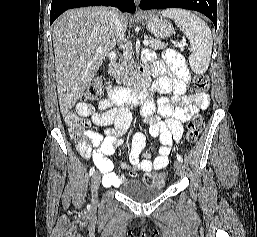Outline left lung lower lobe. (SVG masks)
I'll list each match as a JSON object with an SVG mask.
<instances>
[{"label": "left lung lower lobe", "instance_id": "left-lung-lower-lobe-1", "mask_svg": "<svg viewBox=\"0 0 257 237\" xmlns=\"http://www.w3.org/2000/svg\"><path fill=\"white\" fill-rule=\"evenodd\" d=\"M140 8L165 9V8H184L195 10L206 15L217 27V0H141Z\"/></svg>", "mask_w": 257, "mask_h": 237}]
</instances>
